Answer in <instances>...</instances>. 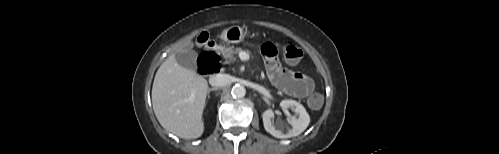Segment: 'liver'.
Masks as SVG:
<instances>
[{"label": "liver", "instance_id": "liver-1", "mask_svg": "<svg viewBox=\"0 0 499 154\" xmlns=\"http://www.w3.org/2000/svg\"><path fill=\"white\" fill-rule=\"evenodd\" d=\"M208 83L194 70L180 66L170 55L156 72L152 105L157 120L167 131L183 139L199 138L204 132L202 114ZM194 93L193 101L189 100Z\"/></svg>", "mask_w": 499, "mask_h": 154}]
</instances>
